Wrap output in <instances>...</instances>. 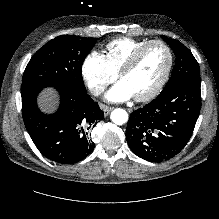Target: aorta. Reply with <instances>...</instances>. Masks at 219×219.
<instances>
[{"label": "aorta", "mask_w": 219, "mask_h": 219, "mask_svg": "<svg viewBox=\"0 0 219 219\" xmlns=\"http://www.w3.org/2000/svg\"><path fill=\"white\" fill-rule=\"evenodd\" d=\"M110 118L116 125H123L128 121V113L121 108H117L111 112Z\"/></svg>", "instance_id": "1"}]
</instances>
